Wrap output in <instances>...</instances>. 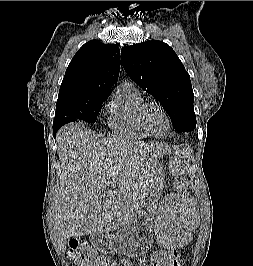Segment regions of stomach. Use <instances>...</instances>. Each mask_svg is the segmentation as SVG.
Listing matches in <instances>:
<instances>
[{
    "label": "stomach",
    "mask_w": 253,
    "mask_h": 266,
    "mask_svg": "<svg viewBox=\"0 0 253 266\" xmlns=\"http://www.w3.org/2000/svg\"><path fill=\"white\" fill-rule=\"evenodd\" d=\"M159 168L157 164L149 179L146 200L143 201L134 219L114 235L101 234L93 242L98 250L105 253L117 252L126 257L135 258L144 255L152 247L154 242V200L150 194L157 185Z\"/></svg>",
    "instance_id": "stomach-1"
}]
</instances>
